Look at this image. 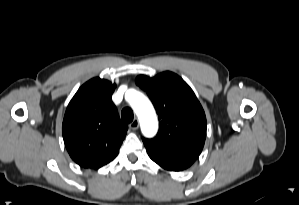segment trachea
<instances>
[{
  "mask_svg": "<svg viewBox=\"0 0 299 205\" xmlns=\"http://www.w3.org/2000/svg\"><path fill=\"white\" fill-rule=\"evenodd\" d=\"M121 117L124 123H130L133 121L134 115L131 108L126 107L121 112Z\"/></svg>",
  "mask_w": 299,
  "mask_h": 205,
  "instance_id": "1",
  "label": "trachea"
}]
</instances>
